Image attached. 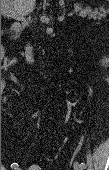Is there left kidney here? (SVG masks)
Listing matches in <instances>:
<instances>
[{"label": "left kidney", "instance_id": "1", "mask_svg": "<svg viewBox=\"0 0 109 170\" xmlns=\"http://www.w3.org/2000/svg\"><path fill=\"white\" fill-rule=\"evenodd\" d=\"M102 64L104 65V66H106L107 65V63H108V59L105 57L104 59H102Z\"/></svg>", "mask_w": 109, "mask_h": 170}]
</instances>
